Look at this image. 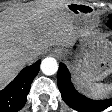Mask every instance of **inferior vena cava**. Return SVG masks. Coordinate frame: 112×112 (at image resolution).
<instances>
[{
    "label": "inferior vena cava",
    "instance_id": "inferior-vena-cava-1",
    "mask_svg": "<svg viewBox=\"0 0 112 112\" xmlns=\"http://www.w3.org/2000/svg\"><path fill=\"white\" fill-rule=\"evenodd\" d=\"M36 57H37V54L34 52H31V53L23 54L21 59L24 63H31L36 59Z\"/></svg>",
    "mask_w": 112,
    "mask_h": 112
}]
</instances>
